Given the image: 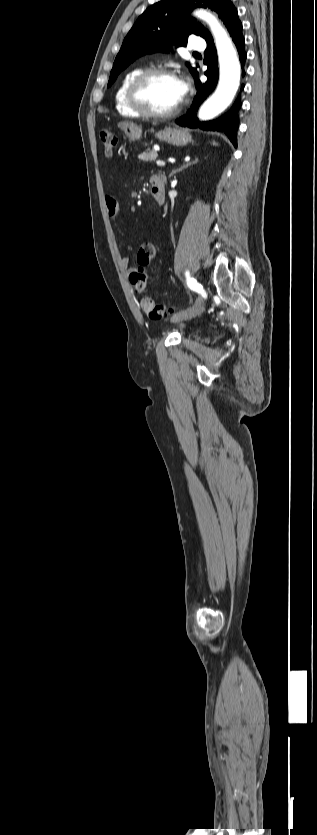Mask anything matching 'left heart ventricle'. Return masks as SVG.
Masks as SVG:
<instances>
[{"label":"left heart ventricle","instance_id":"b2bd125f","mask_svg":"<svg viewBox=\"0 0 317 835\" xmlns=\"http://www.w3.org/2000/svg\"><path fill=\"white\" fill-rule=\"evenodd\" d=\"M142 98L154 111L163 112L172 109L180 102L176 78L158 76L151 79L143 90Z\"/></svg>","mask_w":317,"mask_h":835}]
</instances>
